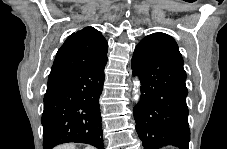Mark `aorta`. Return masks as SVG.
<instances>
[{"mask_svg": "<svg viewBox=\"0 0 227 149\" xmlns=\"http://www.w3.org/2000/svg\"><path fill=\"white\" fill-rule=\"evenodd\" d=\"M139 86H140L139 85V81L138 80H135L133 93H134V96H135L136 99L139 98Z\"/></svg>", "mask_w": 227, "mask_h": 149, "instance_id": "obj_1", "label": "aorta"}]
</instances>
